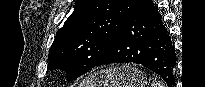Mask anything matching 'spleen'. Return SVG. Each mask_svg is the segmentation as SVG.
<instances>
[{"mask_svg": "<svg viewBox=\"0 0 205 87\" xmlns=\"http://www.w3.org/2000/svg\"><path fill=\"white\" fill-rule=\"evenodd\" d=\"M152 87H164V86L157 78H153L152 79Z\"/></svg>", "mask_w": 205, "mask_h": 87, "instance_id": "spleen-1", "label": "spleen"}]
</instances>
